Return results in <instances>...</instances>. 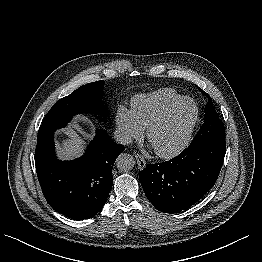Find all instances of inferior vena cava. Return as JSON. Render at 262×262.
<instances>
[{
	"instance_id": "inferior-vena-cava-1",
	"label": "inferior vena cava",
	"mask_w": 262,
	"mask_h": 262,
	"mask_svg": "<svg viewBox=\"0 0 262 262\" xmlns=\"http://www.w3.org/2000/svg\"><path fill=\"white\" fill-rule=\"evenodd\" d=\"M114 139L117 143H120L123 145H128L132 142V137L128 133L122 130H119V129L115 130Z\"/></svg>"
}]
</instances>
